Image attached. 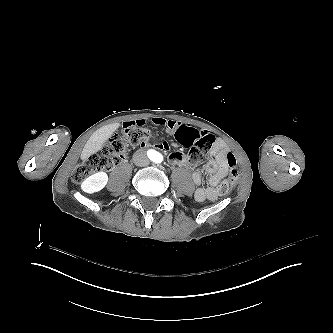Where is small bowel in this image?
I'll return each mask as SVG.
<instances>
[{
    "mask_svg": "<svg viewBox=\"0 0 333 333\" xmlns=\"http://www.w3.org/2000/svg\"><path fill=\"white\" fill-rule=\"evenodd\" d=\"M139 126L154 125L158 127H164L169 131L177 130L180 127H186L192 131L199 134L200 132L188 127L187 125L167 119L164 117H152V118H140L136 121L131 122ZM202 135V134H201ZM148 148H159L164 151L170 150V145L167 142L159 143L158 141L146 140L140 143V149L146 150ZM231 155L229 148L225 141L222 139H215L213 146L208 154V161L204 166V171L209 174V179L206 186H202L203 174L202 171H195L192 175V180L197 186L195 191V199L198 202H203L205 200L215 201L222 195H224L221 190L224 184V179L231 170L236 169V162L234 157L231 159L228 156ZM167 160L170 164L175 166L188 167L189 159L188 157L179 150L171 151L168 153Z\"/></svg>",
    "mask_w": 333,
    "mask_h": 333,
    "instance_id": "obj_1",
    "label": "small bowel"
}]
</instances>
